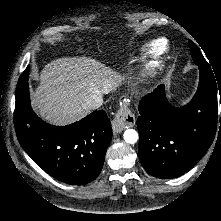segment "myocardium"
Segmentation results:
<instances>
[{
    "instance_id": "f54148a6",
    "label": "myocardium",
    "mask_w": 221,
    "mask_h": 221,
    "mask_svg": "<svg viewBox=\"0 0 221 221\" xmlns=\"http://www.w3.org/2000/svg\"><path fill=\"white\" fill-rule=\"evenodd\" d=\"M158 42H163V46L160 49L156 47ZM170 50L171 45L167 39L158 38L154 40L147 48V60L144 63V67L154 73L158 72L162 68L164 60L170 53Z\"/></svg>"
}]
</instances>
